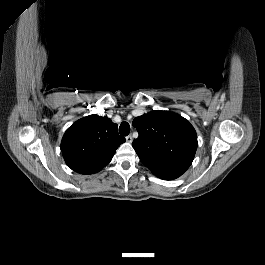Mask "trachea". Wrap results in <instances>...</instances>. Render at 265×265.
Masks as SVG:
<instances>
[{
    "mask_svg": "<svg viewBox=\"0 0 265 265\" xmlns=\"http://www.w3.org/2000/svg\"><path fill=\"white\" fill-rule=\"evenodd\" d=\"M119 133L122 136H127L130 133V125L127 122H122L119 127Z\"/></svg>",
    "mask_w": 265,
    "mask_h": 265,
    "instance_id": "3493384b",
    "label": "trachea"
}]
</instances>
